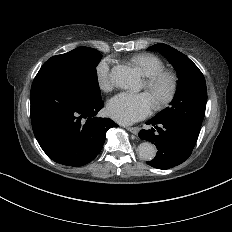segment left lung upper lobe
I'll use <instances>...</instances> for the list:
<instances>
[{"label":"left lung upper lobe","mask_w":232,"mask_h":232,"mask_svg":"<svg viewBox=\"0 0 232 232\" xmlns=\"http://www.w3.org/2000/svg\"><path fill=\"white\" fill-rule=\"evenodd\" d=\"M148 50L158 51L173 65L178 74V85L170 107L154 118L178 122L199 134L207 102L206 82L199 68L183 53L160 43Z\"/></svg>","instance_id":"left-lung-upper-lobe-1"}]
</instances>
